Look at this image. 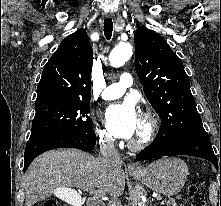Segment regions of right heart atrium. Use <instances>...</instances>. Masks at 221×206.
Returning <instances> with one entry per match:
<instances>
[{"mask_svg":"<svg viewBox=\"0 0 221 206\" xmlns=\"http://www.w3.org/2000/svg\"><path fill=\"white\" fill-rule=\"evenodd\" d=\"M97 134L100 143H102L103 145L110 146L113 144L114 142L113 136L106 129L103 128L98 129Z\"/></svg>","mask_w":221,"mask_h":206,"instance_id":"d8ad5b80","label":"right heart atrium"}]
</instances>
